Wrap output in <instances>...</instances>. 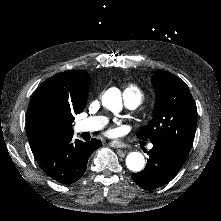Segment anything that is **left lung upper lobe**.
Returning <instances> with one entry per match:
<instances>
[{"mask_svg":"<svg viewBox=\"0 0 221 221\" xmlns=\"http://www.w3.org/2000/svg\"><path fill=\"white\" fill-rule=\"evenodd\" d=\"M152 83L156 93L153 119L140 128L137 137L161 141L187 157L193 144L197 107L187 84L167 71H155Z\"/></svg>","mask_w":221,"mask_h":221,"instance_id":"5c2ea615","label":"left lung upper lobe"}]
</instances>
